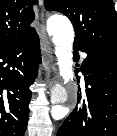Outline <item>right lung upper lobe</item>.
I'll use <instances>...</instances> for the list:
<instances>
[{"label":"right lung upper lobe","mask_w":117,"mask_h":136,"mask_svg":"<svg viewBox=\"0 0 117 136\" xmlns=\"http://www.w3.org/2000/svg\"><path fill=\"white\" fill-rule=\"evenodd\" d=\"M37 0H0V49L36 31L33 5Z\"/></svg>","instance_id":"right-lung-upper-lobe-1"}]
</instances>
